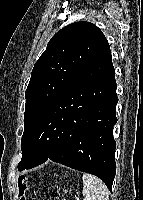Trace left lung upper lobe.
Instances as JSON below:
<instances>
[{"mask_svg": "<svg viewBox=\"0 0 143 200\" xmlns=\"http://www.w3.org/2000/svg\"><path fill=\"white\" fill-rule=\"evenodd\" d=\"M107 44L101 30L89 22L72 23L51 38L34 65L25 92L22 159L18 170H24L30 162L42 114Z\"/></svg>", "mask_w": 143, "mask_h": 200, "instance_id": "1", "label": "left lung upper lobe"}]
</instances>
